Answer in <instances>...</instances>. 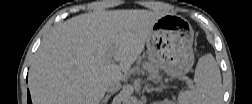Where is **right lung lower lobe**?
<instances>
[{
    "instance_id": "1",
    "label": "right lung lower lobe",
    "mask_w": 252,
    "mask_h": 104,
    "mask_svg": "<svg viewBox=\"0 0 252 104\" xmlns=\"http://www.w3.org/2000/svg\"><path fill=\"white\" fill-rule=\"evenodd\" d=\"M28 104H31V97H30L29 91H28Z\"/></svg>"
}]
</instances>
